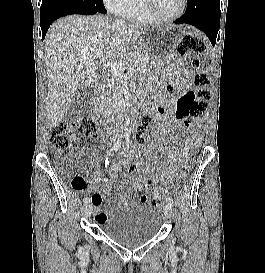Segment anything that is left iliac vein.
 <instances>
[{
  "label": "left iliac vein",
  "instance_id": "left-iliac-vein-1",
  "mask_svg": "<svg viewBox=\"0 0 265 273\" xmlns=\"http://www.w3.org/2000/svg\"><path fill=\"white\" fill-rule=\"evenodd\" d=\"M164 214L167 218H170L173 214V208L170 204L164 206Z\"/></svg>",
  "mask_w": 265,
  "mask_h": 273
}]
</instances>
